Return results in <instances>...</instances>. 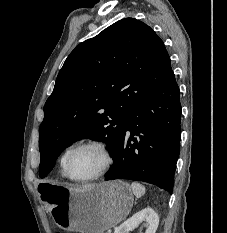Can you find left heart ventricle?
<instances>
[{
    "label": "left heart ventricle",
    "mask_w": 227,
    "mask_h": 233,
    "mask_svg": "<svg viewBox=\"0 0 227 233\" xmlns=\"http://www.w3.org/2000/svg\"><path fill=\"white\" fill-rule=\"evenodd\" d=\"M102 152L95 147H84L76 151L69 160V171L77 179L90 177L103 167Z\"/></svg>",
    "instance_id": "b2bd125f"
}]
</instances>
